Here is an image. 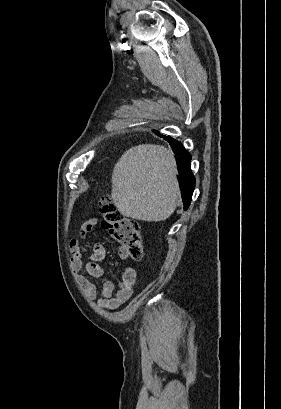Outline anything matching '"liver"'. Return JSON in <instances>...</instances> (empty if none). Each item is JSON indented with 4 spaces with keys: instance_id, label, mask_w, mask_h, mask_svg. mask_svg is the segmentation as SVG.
<instances>
[{
    "instance_id": "obj_1",
    "label": "liver",
    "mask_w": 281,
    "mask_h": 409,
    "mask_svg": "<svg viewBox=\"0 0 281 409\" xmlns=\"http://www.w3.org/2000/svg\"><path fill=\"white\" fill-rule=\"evenodd\" d=\"M172 150L138 144L125 150L114 166L112 198L123 217L165 221L176 209L180 188Z\"/></svg>"
}]
</instances>
